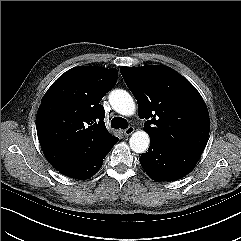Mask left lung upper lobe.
I'll return each instance as SVG.
<instances>
[{
    "label": "left lung upper lobe",
    "mask_w": 241,
    "mask_h": 241,
    "mask_svg": "<svg viewBox=\"0 0 241 241\" xmlns=\"http://www.w3.org/2000/svg\"><path fill=\"white\" fill-rule=\"evenodd\" d=\"M122 77L138 103L139 117L151 142L201 155L206 147L210 120L194 86L167 66L121 67Z\"/></svg>",
    "instance_id": "left-lung-upper-lobe-1"
}]
</instances>
